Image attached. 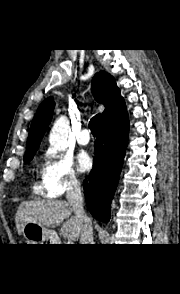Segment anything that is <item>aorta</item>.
I'll use <instances>...</instances> for the list:
<instances>
[{"mask_svg": "<svg viewBox=\"0 0 180 294\" xmlns=\"http://www.w3.org/2000/svg\"><path fill=\"white\" fill-rule=\"evenodd\" d=\"M70 130L69 121L66 117L58 118L50 132L49 142L57 150H64Z\"/></svg>", "mask_w": 180, "mask_h": 294, "instance_id": "obj_1", "label": "aorta"}]
</instances>
